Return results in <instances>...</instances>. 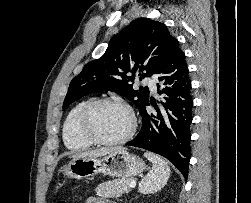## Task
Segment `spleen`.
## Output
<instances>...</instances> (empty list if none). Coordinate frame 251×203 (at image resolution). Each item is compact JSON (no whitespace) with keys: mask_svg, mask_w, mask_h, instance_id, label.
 <instances>
[{"mask_svg":"<svg viewBox=\"0 0 251 203\" xmlns=\"http://www.w3.org/2000/svg\"><path fill=\"white\" fill-rule=\"evenodd\" d=\"M144 156L152 162L153 166L149 173L141 180L139 192L142 194H153L165 186L171 170L168 163L157 154L145 152Z\"/></svg>","mask_w":251,"mask_h":203,"instance_id":"obj_1","label":"spleen"}]
</instances>
